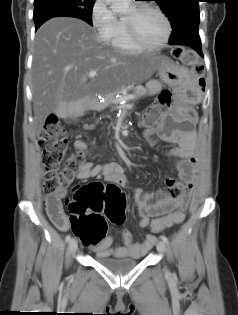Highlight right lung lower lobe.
I'll return each mask as SVG.
<instances>
[{"label":"right lung lower lobe","instance_id":"obj_1","mask_svg":"<svg viewBox=\"0 0 238 315\" xmlns=\"http://www.w3.org/2000/svg\"><path fill=\"white\" fill-rule=\"evenodd\" d=\"M52 17H45L35 22V30H37L45 21L49 20Z\"/></svg>","mask_w":238,"mask_h":315}]
</instances>
